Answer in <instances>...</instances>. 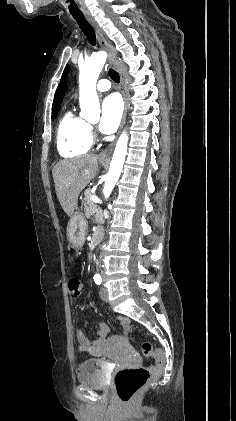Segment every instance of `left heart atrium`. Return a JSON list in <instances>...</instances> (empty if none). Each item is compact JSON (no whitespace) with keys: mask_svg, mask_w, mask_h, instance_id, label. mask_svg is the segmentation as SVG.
I'll return each instance as SVG.
<instances>
[{"mask_svg":"<svg viewBox=\"0 0 236 421\" xmlns=\"http://www.w3.org/2000/svg\"><path fill=\"white\" fill-rule=\"evenodd\" d=\"M122 105L115 94L108 95L102 103V116L100 120V130L105 134L114 132L121 121Z\"/></svg>","mask_w":236,"mask_h":421,"instance_id":"39dd6f15","label":"left heart atrium"}]
</instances>
